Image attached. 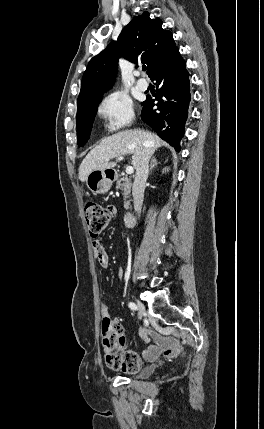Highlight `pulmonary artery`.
Wrapping results in <instances>:
<instances>
[{
  "label": "pulmonary artery",
  "mask_w": 264,
  "mask_h": 429,
  "mask_svg": "<svg viewBox=\"0 0 264 429\" xmlns=\"http://www.w3.org/2000/svg\"><path fill=\"white\" fill-rule=\"evenodd\" d=\"M138 74H139V73H138ZM136 87H137L139 90L144 91V90H146V89L148 88V83H147V81H146L145 79L140 78V79H138V80H137V82H136Z\"/></svg>",
  "instance_id": "obj_1"
}]
</instances>
